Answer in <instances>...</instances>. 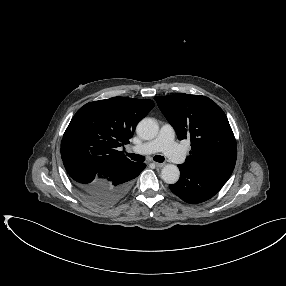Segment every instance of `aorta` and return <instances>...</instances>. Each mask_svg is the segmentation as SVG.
Here are the masks:
<instances>
[{
  "instance_id": "1",
  "label": "aorta",
  "mask_w": 286,
  "mask_h": 286,
  "mask_svg": "<svg viewBox=\"0 0 286 286\" xmlns=\"http://www.w3.org/2000/svg\"><path fill=\"white\" fill-rule=\"evenodd\" d=\"M158 124L152 118L142 119L136 128V132L139 137L144 140H151L155 138L158 134ZM180 177L179 168L173 164L165 165L161 170V178L165 183L175 184Z\"/></svg>"
}]
</instances>
